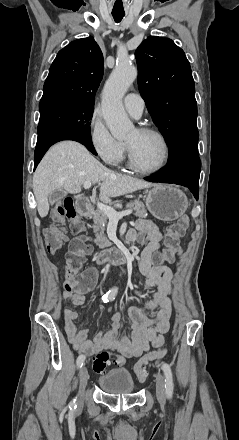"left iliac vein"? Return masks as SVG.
I'll return each mask as SVG.
<instances>
[{
  "label": "left iliac vein",
  "mask_w": 239,
  "mask_h": 440,
  "mask_svg": "<svg viewBox=\"0 0 239 440\" xmlns=\"http://www.w3.org/2000/svg\"><path fill=\"white\" fill-rule=\"evenodd\" d=\"M156 395L159 403L164 405L166 401L165 381L160 372L156 373Z\"/></svg>",
  "instance_id": "left-iliac-vein-1"
}]
</instances>
